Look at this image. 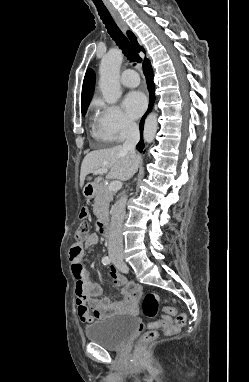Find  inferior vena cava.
Segmentation results:
<instances>
[{
    "label": "inferior vena cava",
    "mask_w": 249,
    "mask_h": 382,
    "mask_svg": "<svg viewBox=\"0 0 249 382\" xmlns=\"http://www.w3.org/2000/svg\"><path fill=\"white\" fill-rule=\"evenodd\" d=\"M140 140L139 127L136 123L127 124L126 140L122 146L123 150L128 151L132 157L136 156L135 147ZM138 165L134 163L133 173L136 172ZM125 196L121 197L114 205L110 221V235L108 254L111 258H121L123 256L122 224L125 217Z\"/></svg>",
    "instance_id": "inferior-vena-cava-1"
}]
</instances>
